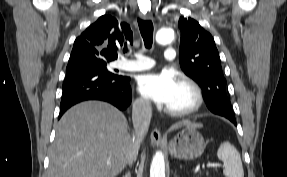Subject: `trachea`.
Returning a JSON list of instances; mask_svg holds the SVG:
<instances>
[{"mask_svg": "<svg viewBox=\"0 0 287 177\" xmlns=\"http://www.w3.org/2000/svg\"><path fill=\"white\" fill-rule=\"evenodd\" d=\"M139 30L144 40L145 47L150 49L153 43V24L150 20L138 19ZM124 52L127 49L123 50Z\"/></svg>", "mask_w": 287, "mask_h": 177, "instance_id": "obj_1", "label": "trachea"}]
</instances>
